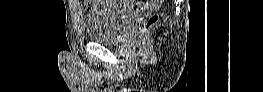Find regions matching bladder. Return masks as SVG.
Returning <instances> with one entry per match:
<instances>
[{
	"label": "bladder",
	"mask_w": 263,
	"mask_h": 92,
	"mask_svg": "<svg viewBox=\"0 0 263 92\" xmlns=\"http://www.w3.org/2000/svg\"><path fill=\"white\" fill-rule=\"evenodd\" d=\"M136 18L137 12L132 9L105 6L91 12L84 25L90 40L114 44L128 33Z\"/></svg>",
	"instance_id": "obj_1"
}]
</instances>
